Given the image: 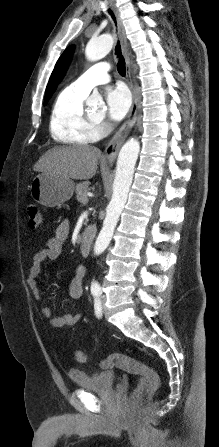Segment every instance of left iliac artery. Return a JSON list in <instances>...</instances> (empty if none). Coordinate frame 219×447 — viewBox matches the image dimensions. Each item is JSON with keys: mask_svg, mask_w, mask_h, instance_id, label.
I'll return each instance as SVG.
<instances>
[{"mask_svg": "<svg viewBox=\"0 0 219 447\" xmlns=\"http://www.w3.org/2000/svg\"><path fill=\"white\" fill-rule=\"evenodd\" d=\"M93 294L100 295V294H101V291H99V290H95V291H93Z\"/></svg>", "mask_w": 219, "mask_h": 447, "instance_id": "obj_1", "label": "left iliac artery"}]
</instances>
